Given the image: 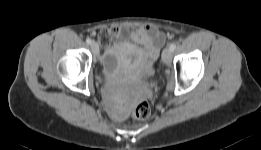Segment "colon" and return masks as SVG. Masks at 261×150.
Segmentation results:
<instances>
[{
	"label": "colon",
	"mask_w": 261,
	"mask_h": 150,
	"mask_svg": "<svg viewBox=\"0 0 261 150\" xmlns=\"http://www.w3.org/2000/svg\"><path fill=\"white\" fill-rule=\"evenodd\" d=\"M150 106L147 101L141 100L135 104L132 115L136 119H146L150 115Z\"/></svg>",
	"instance_id": "1"
}]
</instances>
